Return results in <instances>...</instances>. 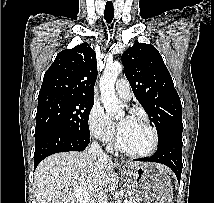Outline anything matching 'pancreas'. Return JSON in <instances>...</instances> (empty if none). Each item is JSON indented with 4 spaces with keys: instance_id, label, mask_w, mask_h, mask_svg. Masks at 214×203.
I'll use <instances>...</instances> for the list:
<instances>
[{
    "instance_id": "obj_1",
    "label": "pancreas",
    "mask_w": 214,
    "mask_h": 203,
    "mask_svg": "<svg viewBox=\"0 0 214 203\" xmlns=\"http://www.w3.org/2000/svg\"><path fill=\"white\" fill-rule=\"evenodd\" d=\"M128 203H138V202L135 197H130V200L128 201Z\"/></svg>"
}]
</instances>
